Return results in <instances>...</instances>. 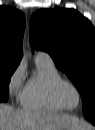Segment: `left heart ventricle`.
Instances as JSON below:
<instances>
[{"label":"left heart ventricle","mask_w":95,"mask_h":130,"mask_svg":"<svg viewBox=\"0 0 95 130\" xmlns=\"http://www.w3.org/2000/svg\"><path fill=\"white\" fill-rule=\"evenodd\" d=\"M61 95L65 104L69 107H76L79 102L78 94L71 86H64L61 90Z\"/></svg>","instance_id":"b2bd125f"}]
</instances>
